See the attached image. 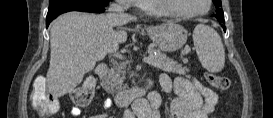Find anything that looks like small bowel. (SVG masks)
Masks as SVG:
<instances>
[{"mask_svg":"<svg viewBox=\"0 0 273 118\" xmlns=\"http://www.w3.org/2000/svg\"><path fill=\"white\" fill-rule=\"evenodd\" d=\"M159 83L164 93H175L176 97L171 101L169 118H209L213 116L218 101L216 93L200 84L197 80L184 76L171 79L166 74L159 76ZM160 97L154 95L149 99V106L140 104L136 107L138 116L146 118H161ZM110 101L106 102V107ZM73 117H79L82 113L78 107L70 111Z\"/></svg>","mask_w":273,"mask_h":118,"instance_id":"c3829d8e","label":"small bowel"}]
</instances>
